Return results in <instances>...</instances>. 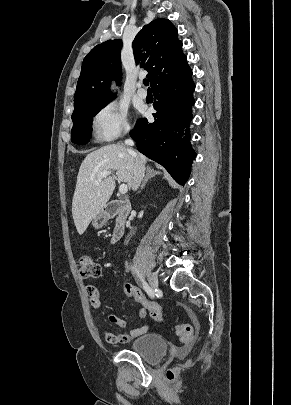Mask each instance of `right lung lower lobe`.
Wrapping results in <instances>:
<instances>
[{"label": "right lung lower lobe", "instance_id": "right-lung-lower-lobe-1", "mask_svg": "<svg viewBox=\"0 0 291 405\" xmlns=\"http://www.w3.org/2000/svg\"><path fill=\"white\" fill-rule=\"evenodd\" d=\"M191 76L189 70L157 84L152 89L158 100L153 104L157 111L153 114L155 121L140 119L130 132L138 151L165 167L181 185L188 180L196 156L190 144L191 110L195 103Z\"/></svg>", "mask_w": 291, "mask_h": 405}]
</instances>
